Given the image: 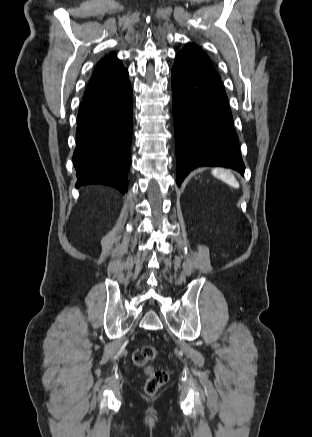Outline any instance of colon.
Wrapping results in <instances>:
<instances>
[{
	"label": "colon",
	"instance_id": "obj_1",
	"mask_svg": "<svg viewBox=\"0 0 312 437\" xmlns=\"http://www.w3.org/2000/svg\"><path fill=\"white\" fill-rule=\"evenodd\" d=\"M158 356V350L153 345H143L137 348L133 354V362L138 367H144L147 374L145 392L154 395L167 382L168 372L161 368L149 365Z\"/></svg>",
	"mask_w": 312,
	"mask_h": 437
}]
</instances>
